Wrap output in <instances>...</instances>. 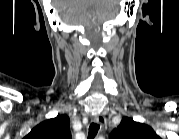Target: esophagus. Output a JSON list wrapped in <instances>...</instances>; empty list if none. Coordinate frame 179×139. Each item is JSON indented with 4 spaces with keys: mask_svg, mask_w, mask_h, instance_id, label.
<instances>
[{
    "mask_svg": "<svg viewBox=\"0 0 179 139\" xmlns=\"http://www.w3.org/2000/svg\"><path fill=\"white\" fill-rule=\"evenodd\" d=\"M93 122L103 126L106 124V118L104 114H98L93 118Z\"/></svg>",
    "mask_w": 179,
    "mask_h": 139,
    "instance_id": "1",
    "label": "esophagus"
}]
</instances>
